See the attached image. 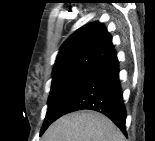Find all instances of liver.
Here are the masks:
<instances>
[{"label": "liver", "mask_w": 155, "mask_h": 141, "mask_svg": "<svg viewBox=\"0 0 155 141\" xmlns=\"http://www.w3.org/2000/svg\"><path fill=\"white\" fill-rule=\"evenodd\" d=\"M44 141H125L122 132L106 116L91 110L67 114L45 132Z\"/></svg>", "instance_id": "liver-1"}]
</instances>
